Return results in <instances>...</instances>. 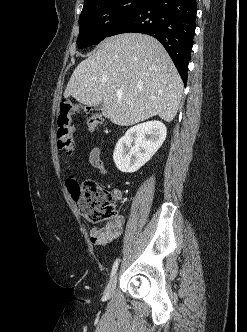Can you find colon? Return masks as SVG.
<instances>
[{
  "label": "colon",
  "instance_id": "obj_1",
  "mask_svg": "<svg viewBox=\"0 0 247 332\" xmlns=\"http://www.w3.org/2000/svg\"><path fill=\"white\" fill-rule=\"evenodd\" d=\"M76 107L68 100L61 103L57 116L56 137L59 149L67 154L75 151L76 139L72 127V115ZM86 127L95 131L103 118L98 112L86 108L83 110ZM67 188L79 207L81 214L89 221L98 223L115 216L114 197L96 180L77 181L71 177L66 182Z\"/></svg>",
  "mask_w": 247,
  "mask_h": 332
}]
</instances>
